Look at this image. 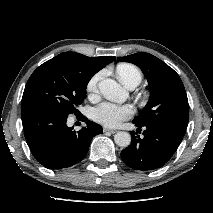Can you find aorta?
<instances>
[{
  "label": "aorta",
  "mask_w": 213,
  "mask_h": 213,
  "mask_svg": "<svg viewBox=\"0 0 213 213\" xmlns=\"http://www.w3.org/2000/svg\"><path fill=\"white\" fill-rule=\"evenodd\" d=\"M98 86L100 93L108 100L123 101L126 97V91L113 79H104ZM114 141L120 147H127L131 143V135L124 131L117 132Z\"/></svg>",
  "instance_id": "obj_1"
}]
</instances>
